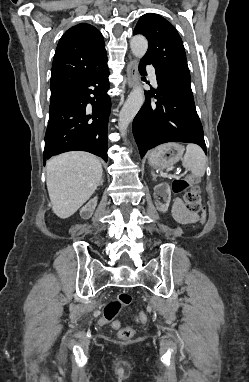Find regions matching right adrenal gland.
Wrapping results in <instances>:
<instances>
[{
	"instance_id": "right-adrenal-gland-1",
	"label": "right adrenal gland",
	"mask_w": 249,
	"mask_h": 382,
	"mask_svg": "<svg viewBox=\"0 0 249 382\" xmlns=\"http://www.w3.org/2000/svg\"><path fill=\"white\" fill-rule=\"evenodd\" d=\"M103 184V178L101 179V181H100V185H102Z\"/></svg>"
}]
</instances>
